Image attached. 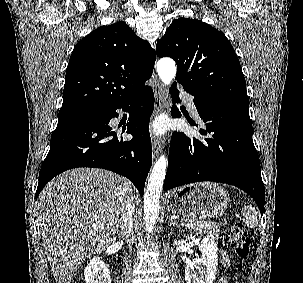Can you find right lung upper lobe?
Returning a JSON list of instances; mask_svg holds the SVG:
<instances>
[{"instance_id":"right-lung-upper-lobe-1","label":"right lung upper lobe","mask_w":303,"mask_h":283,"mask_svg":"<svg viewBox=\"0 0 303 283\" xmlns=\"http://www.w3.org/2000/svg\"><path fill=\"white\" fill-rule=\"evenodd\" d=\"M156 52L125 23L102 26L74 47L58 117L100 111L143 90Z\"/></svg>"}]
</instances>
